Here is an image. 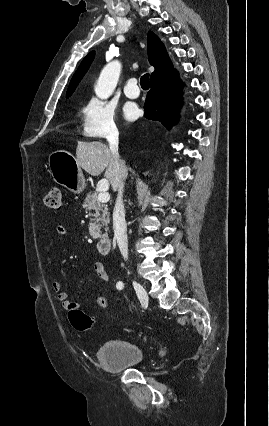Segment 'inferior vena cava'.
<instances>
[{"label": "inferior vena cava", "mask_w": 269, "mask_h": 426, "mask_svg": "<svg viewBox=\"0 0 269 426\" xmlns=\"http://www.w3.org/2000/svg\"><path fill=\"white\" fill-rule=\"evenodd\" d=\"M118 131H112L108 136V142L110 150L115 158L117 169L121 174V180L118 185V196L113 212V227L114 235L118 243L121 254L124 259L128 258V238H127V226L125 221V209L123 204V191L125 178L123 173L125 171V164L120 160L118 153V142H119Z\"/></svg>", "instance_id": "inferior-vena-cava-1"}]
</instances>
